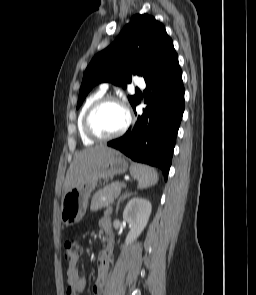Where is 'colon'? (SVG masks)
Here are the masks:
<instances>
[{
	"label": "colon",
	"instance_id": "5ec220e1",
	"mask_svg": "<svg viewBox=\"0 0 256 295\" xmlns=\"http://www.w3.org/2000/svg\"><path fill=\"white\" fill-rule=\"evenodd\" d=\"M81 252V245L76 238H68L64 242L63 257L67 261L78 258Z\"/></svg>",
	"mask_w": 256,
	"mask_h": 295
}]
</instances>
